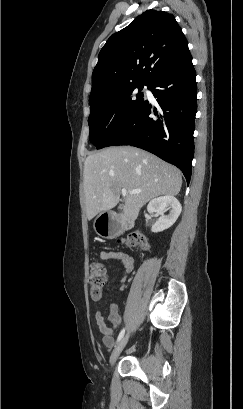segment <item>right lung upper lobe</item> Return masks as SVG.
Here are the masks:
<instances>
[{
    "instance_id": "obj_1",
    "label": "right lung upper lobe",
    "mask_w": 243,
    "mask_h": 409,
    "mask_svg": "<svg viewBox=\"0 0 243 409\" xmlns=\"http://www.w3.org/2000/svg\"><path fill=\"white\" fill-rule=\"evenodd\" d=\"M188 47L174 16L147 10L113 34L99 53L89 103L131 84H148Z\"/></svg>"
}]
</instances>
